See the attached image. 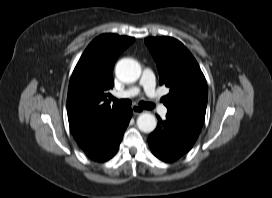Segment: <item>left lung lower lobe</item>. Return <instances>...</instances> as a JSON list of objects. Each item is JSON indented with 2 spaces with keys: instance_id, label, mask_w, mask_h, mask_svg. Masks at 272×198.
Returning <instances> with one entry per match:
<instances>
[{
  "instance_id": "left-lung-lower-lobe-1",
  "label": "left lung lower lobe",
  "mask_w": 272,
  "mask_h": 198,
  "mask_svg": "<svg viewBox=\"0 0 272 198\" xmlns=\"http://www.w3.org/2000/svg\"><path fill=\"white\" fill-rule=\"evenodd\" d=\"M202 126L203 122L167 112L148 137L152 153L165 162L177 160L192 148Z\"/></svg>"
}]
</instances>
